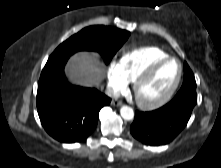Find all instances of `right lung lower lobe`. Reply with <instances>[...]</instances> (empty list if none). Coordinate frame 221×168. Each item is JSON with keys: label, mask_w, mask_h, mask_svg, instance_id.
<instances>
[{"label": "right lung lower lobe", "mask_w": 221, "mask_h": 168, "mask_svg": "<svg viewBox=\"0 0 221 168\" xmlns=\"http://www.w3.org/2000/svg\"><path fill=\"white\" fill-rule=\"evenodd\" d=\"M68 59H48L36 97L42 126L51 137L63 143L86 139L97 126L100 109L111 102L94 88L70 84L64 73Z\"/></svg>", "instance_id": "1"}]
</instances>
